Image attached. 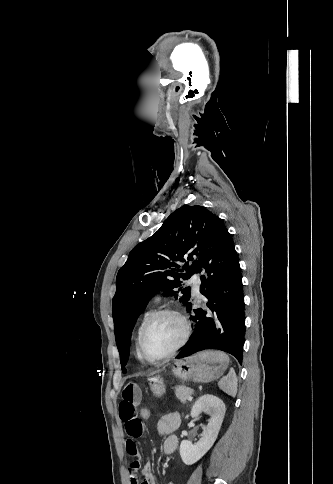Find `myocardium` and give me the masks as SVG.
Returning <instances> with one entry per match:
<instances>
[{
    "label": "myocardium",
    "instance_id": "obj_1",
    "mask_svg": "<svg viewBox=\"0 0 333 484\" xmlns=\"http://www.w3.org/2000/svg\"><path fill=\"white\" fill-rule=\"evenodd\" d=\"M165 315L175 316L181 321V323L183 325V335H182L180 341L177 343V345L172 350H170L168 353H166L165 355H163L161 357L153 358V357H150L145 351V338H146L147 332H148L150 326L153 324V322L156 321L161 316H165ZM191 330H192V326H191L190 320L180 310L175 309V308H162V309L156 310L147 319V321L145 322V324L142 327V330H141V333H140V338H139V352H140L141 356L143 357V359L147 362L160 363L162 361H165V360L171 358L172 356H174L187 343V341L190 337V334H191Z\"/></svg>",
    "mask_w": 333,
    "mask_h": 484
}]
</instances>
